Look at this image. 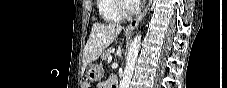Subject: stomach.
Masks as SVG:
<instances>
[{
  "label": "stomach",
  "mask_w": 227,
  "mask_h": 88,
  "mask_svg": "<svg viewBox=\"0 0 227 88\" xmlns=\"http://www.w3.org/2000/svg\"><path fill=\"white\" fill-rule=\"evenodd\" d=\"M104 74V70L102 65H98V64H91L88 68H87V78L90 81H99Z\"/></svg>",
  "instance_id": "0dacf381"
}]
</instances>
